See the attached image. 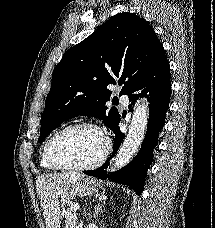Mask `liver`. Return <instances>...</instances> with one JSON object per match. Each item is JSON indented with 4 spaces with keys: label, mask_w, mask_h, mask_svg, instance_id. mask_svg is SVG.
<instances>
[{
    "label": "liver",
    "mask_w": 215,
    "mask_h": 228,
    "mask_svg": "<svg viewBox=\"0 0 215 228\" xmlns=\"http://www.w3.org/2000/svg\"><path fill=\"white\" fill-rule=\"evenodd\" d=\"M83 176L76 172H67V174H42L35 180L37 194L41 202L43 216L45 218L46 228H60L61 212L60 190L62 184H74L81 180Z\"/></svg>",
    "instance_id": "liver-1"
}]
</instances>
